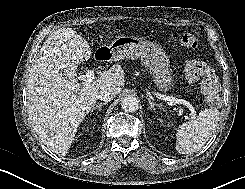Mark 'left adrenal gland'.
Returning <instances> with one entry per match:
<instances>
[{
  "label": "left adrenal gland",
  "mask_w": 245,
  "mask_h": 189,
  "mask_svg": "<svg viewBox=\"0 0 245 189\" xmlns=\"http://www.w3.org/2000/svg\"><path fill=\"white\" fill-rule=\"evenodd\" d=\"M146 99L148 100L149 109L150 110L154 111L155 110V107L162 108V105L161 104H158L156 102L151 101V99L149 97L146 96Z\"/></svg>",
  "instance_id": "a2214340"
}]
</instances>
